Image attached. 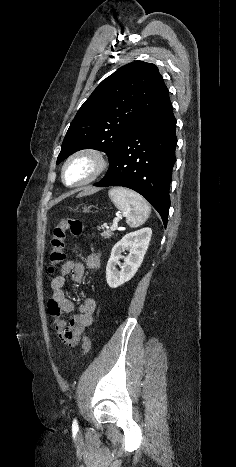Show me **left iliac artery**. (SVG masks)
Returning <instances> with one entry per match:
<instances>
[{
    "label": "left iliac artery",
    "mask_w": 236,
    "mask_h": 467,
    "mask_svg": "<svg viewBox=\"0 0 236 467\" xmlns=\"http://www.w3.org/2000/svg\"><path fill=\"white\" fill-rule=\"evenodd\" d=\"M73 427H78V422L76 419L73 420V424H72Z\"/></svg>",
    "instance_id": "44dca946"
}]
</instances>
